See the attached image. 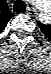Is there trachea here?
I'll return each instance as SVG.
<instances>
[{
    "label": "trachea",
    "mask_w": 51,
    "mask_h": 74,
    "mask_svg": "<svg viewBox=\"0 0 51 74\" xmlns=\"http://www.w3.org/2000/svg\"><path fill=\"white\" fill-rule=\"evenodd\" d=\"M25 8V4L21 0H17L16 4L14 5L15 12L19 11V9Z\"/></svg>",
    "instance_id": "3493384b"
}]
</instances>
